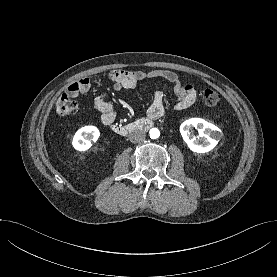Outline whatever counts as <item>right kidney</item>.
<instances>
[{"instance_id": "1", "label": "right kidney", "mask_w": 277, "mask_h": 277, "mask_svg": "<svg viewBox=\"0 0 277 277\" xmlns=\"http://www.w3.org/2000/svg\"><path fill=\"white\" fill-rule=\"evenodd\" d=\"M100 136V132L95 126H85L80 128L74 135L72 140L73 147L78 151H86L96 142Z\"/></svg>"}]
</instances>
